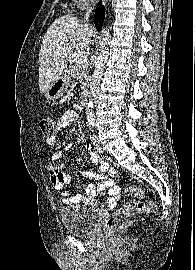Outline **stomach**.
<instances>
[{"label":"stomach","instance_id":"stomach-1","mask_svg":"<svg viewBox=\"0 0 195 270\" xmlns=\"http://www.w3.org/2000/svg\"><path fill=\"white\" fill-rule=\"evenodd\" d=\"M70 84V77L62 73L45 92L48 100H54L62 96Z\"/></svg>","mask_w":195,"mask_h":270}]
</instances>
